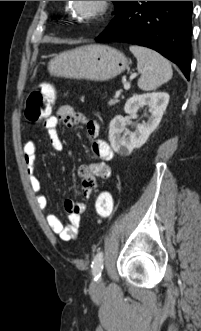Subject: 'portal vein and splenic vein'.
I'll list each match as a JSON object with an SVG mask.
<instances>
[{
    "label": "portal vein and splenic vein",
    "instance_id": "18ae733b",
    "mask_svg": "<svg viewBox=\"0 0 201 331\" xmlns=\"http://www.w3.org/2000/svg\"><path fill=\"white\" fill-rule=\"evenodd\" d=\"M130 88V82H124V89L128 90ZM120 95V91L116 93V96Z\"/></svg>",
    "mask_w": 201,
    "mask_h": 331
}]
</instances>
